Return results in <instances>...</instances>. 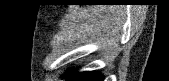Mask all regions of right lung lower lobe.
<instances>
[{"label":"right lung lower lobe","mask_w":169,"mask_h":81,"mask_svg":"<svg viewBox=\"0 0 169 81\" xmlns=\"http://www.w3.org/2000/svg\"><path fill=\"white\" fill-rule=\"evenodd\" d=\"M103 77L100 73L97 72H82V73H75L71 71L68 73L67 81H102Z\"/></svg>","instance_id":"right-lung-lower-lobe-1"}]
</instances>
